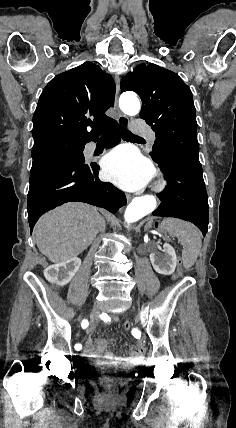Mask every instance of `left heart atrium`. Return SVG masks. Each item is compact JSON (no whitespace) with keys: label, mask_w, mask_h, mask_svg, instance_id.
<instances>
[{"label":"left heart atrium","mask_w":236,"mask_h":428,"mask_svg":"<svg viewBox=\"0 0 236 428\" xmlns=\"http://www.w3.org/2000/svg\"><path fill=\"white\" fill-rule=\"evenodd\" d=\"M104 177L128 191L142 189L151 178V167L134 149L119 147L103 161Z\"/></svg>","instance_id":"39dd6f15"}]
</instances>
